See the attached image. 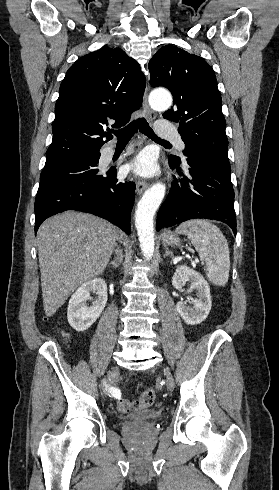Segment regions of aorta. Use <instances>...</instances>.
<instances>
[{
    "mask_svg": "<svg viewBox=\"0 0 279 490\" xmlns=\"http://www.w3.org/2000/svg\"><path fill=\"white\" fill-rule=\"evenodd\" d=\"M149 103L154 110L165 111L172 104V97L164 90L153 91L149 97ZM166 187L161 183L154 184L148 189L137 205L135 212V226L137 229L140 248L145 258L150 259L154 253V215L159 208Z\"/></svg>",
    "mask_w": 279,
    "mask_h": 490,
    "instance_id": "obj_1",
    "label": "aorta"
}]
</instances>
